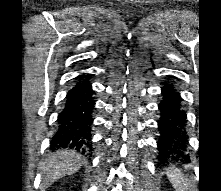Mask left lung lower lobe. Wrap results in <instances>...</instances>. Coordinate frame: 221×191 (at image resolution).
<instances>
[{
	"instance_id": "0a47b994",
	"label": "left lung lower lobe",
	"mask_w": 221,
	"mask_h": 191,
	"mask_svg": "<svg viewBox=\"0 0 221 191\" xmlns=\"http://www.w3.org/2000/svg\"><path fill=\"white\" fill-rule=\"evenodd\" d=\"M163 99L158 104L161 117L158 122L160 136L157 141L158 160L183 159L188 146L187 115L182 106L183 99L172 83L162 87ZM189 160V159H188Z\"/></svg>"
}]
</instances>
